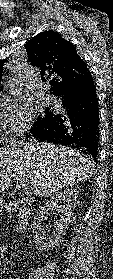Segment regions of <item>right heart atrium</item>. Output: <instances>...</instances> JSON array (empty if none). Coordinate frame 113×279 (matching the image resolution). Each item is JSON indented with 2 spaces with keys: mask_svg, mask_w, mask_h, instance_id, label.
I'll list each match as a JSON object with an SVG mask.
<instances>
[{
  "mask_svg": "<svg viewBox=\"0 0 113 279\" xmlns=\"http://www.w3.org/2000/svg\"><path fill=\"white\" fill-rule=\"evenodd\" d=\"M32 109L16 97H4L0 100V126L5 135L19 137L30 127Z\"/></svg>",
  "mask_w": 113,
  "mask_h": 279,
  "instance_id": "obj_1",
  "label": "right heart atrium"
}]
</instances>
